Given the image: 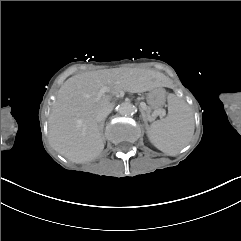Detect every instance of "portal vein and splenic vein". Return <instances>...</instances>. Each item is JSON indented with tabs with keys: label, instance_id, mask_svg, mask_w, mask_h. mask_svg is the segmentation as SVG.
Segmentation results:
<instances>
[{
	"label": "portal vein and splenic vein",
	"instance_id": "portal-vein-and-splenic-vein-1",
	"mask_svg": "<svg viewBox=\"0 0 241 241\" xmlns=\"http://www.w3.org/2000/svg\"><path fill=\"white\" fill-rule=\"evenodd\" d=\"M140 109H142V113L144 115V118L148 122H154L157 116H160V117L164 116L163 110H157L151 116H149V113L147 112V106H146L145 102H140Z\"/></svg>",
	"mask_w": 241,
	"mask_h": 241
}]
</instances>
